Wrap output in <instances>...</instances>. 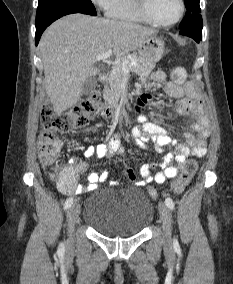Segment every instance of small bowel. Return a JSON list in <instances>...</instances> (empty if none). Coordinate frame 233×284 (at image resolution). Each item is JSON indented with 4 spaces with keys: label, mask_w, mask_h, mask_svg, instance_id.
Segmentation results:
<instances>
[{
    "label": "small bowel",
    "mask_w": 233,
    "mask_h": 284,
    "mask_svg": "<svg viewBox=\"0 0 233 284\" xmlns=\"http://www.w3.org/2000/svg\"><path fill=\"white\" fill-rule=\"evenodd\" d=\"M151 78L155 84L163 86L169 96L177 99L178 113L194 117V133L188 132L185 134L186 143H177L164 127L150 122L148 117L143 113L144 105L151 101L149 95L143 94L136 106V110L140 113L138 118L140 125L133 128L131 132L132 137L144 143L152 142L163 150H168L171 147H173V150L166 155L164 167L156 174H153L151 164H143L140 167L142 180H137L133 169L128 168L126 170L129 179L139 186H144L152 182L161 184L167 179L175 177L180 166L185 163L188 157L201 158L205 156L207 139L209 137L208 123L203 113L201 98L195 88L191 84H177L168 81L166 73L162 70L153 72ZM142 86H146L145 82H142ZM123 153L124 147L120 136L113 135L102 143L88 146L84 151V160L73 157L68 164L63 166L52 167L45 164L43 166L49 171L50 177L59 187L63 176L73 174L79 177L85 173L88 169L90 159L110 158L115 154ZM107 178L108 172L106 170L90 173L87 177V187L78 185L73 193L79 194L84 191H93L97 189L99 183L105 182Z\"/></svg>",
    "instance_id": "c3829d8e"
}]
</instances>
